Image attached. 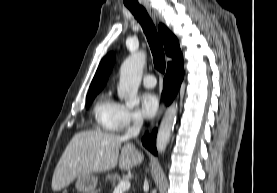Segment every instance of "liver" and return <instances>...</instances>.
<instances>
[{"mask_svg":"<svg viewBox=\"0 0 277 193\" xmlns=\"http://www.w3.org/2000/svg\"><path fill=\"white\" fill-rule=\"evenodd\" d=\"M142 160L143 154L125 136L100 130L79 132L72 138L55 168L52 190H62L81 175L115 168L118 162L120 169L128 170L138 166Z\"/></svg>","mask_w":277,"mask_h":193,"instance_id":"6515ba94","label":"liver"}]
</instances>
